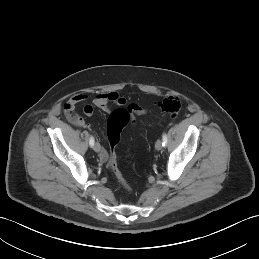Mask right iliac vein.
Returning a JSON list of instances; mask_svg holds the SVG:
<instances>
[{
    "label": "right iliac vein",
    "instance_id": "right-iliac-vein-1",
    "mask_svg": "<svg viewBox=\"0 0 259 259\" xmlns=\"http://www.w3.org/2000/svg\"><path fill=\"white\" fill-rule=\"evenodd\" d=\"M100 144L99 143H95L94 146H93V149L95 152H99L100 151Z\"/></svg>",
    "mask_w": 259,
    "mask_h": 259
}]
</instances>
